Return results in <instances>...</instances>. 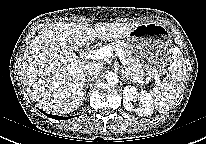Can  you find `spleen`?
<instances>
[{"label":"spleen","mask_w":206,"mask_h":144,"mask_svg":"<svg viewBox=\"0 0 206 144\" xmlns=\"http://www.w3.org/2000/svg\"><path fill=\"white\" fill-rule=\"evenodd\" d=\"M167 72L163 82L149 92L152 104L160 113L168 110L175 103L183 89L185 67L178 48H173Z\"/></svg>","instance_id":"obj_1"}]
</instances>
